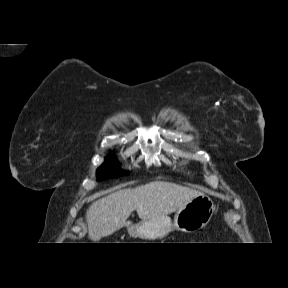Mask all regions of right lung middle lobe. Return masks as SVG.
I'll return each instance as SVG.
<instances>
[{"label":"right lung middle lobe","mask_w":288,"mask_h":288,"mask_svg":"<svg viewBox=\"0 0 288 288\" xmlns=\"http://www.w3.org/2000/svg\"><path fill=\"white\" fill-rule=\"evenodd\" d=\"M125 174V172L120 170L118 163L112 157H108L105 163L97 169L98 180L119 177Z\"/></svg>","instance_id":"obj_1"}]
</instances>
